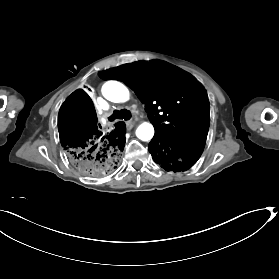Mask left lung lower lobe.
I'll use <instances>...</instances> for the list:
<instances>
[{
	"instance_id": "obj_1",
	"label": "left lung lower lobe",
	"mask_w": 279,
	"mask_h": 279,
	"mask_svg": "<svg viewBox=\"0 0 279 279\" xmlns=\"http://www.w3.org/2000/svg\"><path fill=\"white\" fill-rule=\"evenodd\" d=\"M204 145L203 143H178L153 138L148 149L153 160L166 171L180 172L196 163L203 152Z\"/></svg>"
}]
</instances>
